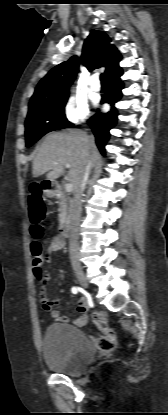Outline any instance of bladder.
<instances>
[{"label":"bladder","instance_id":"obj_1","mask_svg":"<svg viewBox=\"0 0 168 415\" xmlns=\"http://www.w3.org/2000/svg\"><path fill=\"white\" fill-rule=\"evenodd\" d=\"M43 357L53 371L76 376L92 363L95 348L85 333L71 325H49L42 339Z\"/></svg>","mask_w":168,"mask_h":415}]
</instances>
